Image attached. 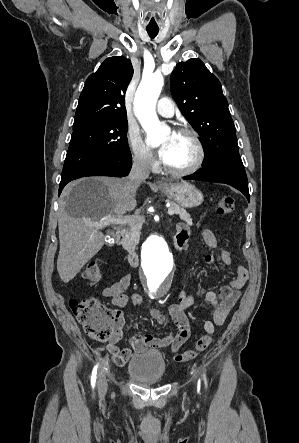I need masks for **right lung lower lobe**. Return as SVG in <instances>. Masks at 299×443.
Instances as JSON below:
<instances>
[{
    "instance_id": "1",
    "label": "right lung lower lobe",
    "mask_w": 299,
    "mask_h": 443,
    "mask_svg": "<svg viewBox=\"0 0 299 443\" xmlns=\"http://www.w3.org/2000/svg\"><path fill=\"white\" fill-rule=\"evenodd\" d=\"M132 157L130 159H120L114 161H105L96 165L83 169L80 172L75 173L66 180H61L59 187V195L64 186L75 179L87 176H112V177H124L127 176L131 170Z\"/></svg>"
}]
</instances>
